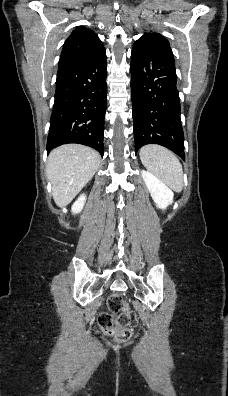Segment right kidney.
<instances>
[{"mask_svg": "<svg viewBox=\"0 0 228 396\" xmlns=\"http://www.w3.org/2000/svg\"><path fill=\"white\" fill-rule=\"evenodd\" d=\"M85 201H86V195L85 194L80 195V197L72 205L71 208L72 212L74 214L81 212L85 204Z\"/></svg>", "mask_w": 228, "mask_h": 396, "instance_id": "obj_1", "label": "right kidney"}]
</instances>
